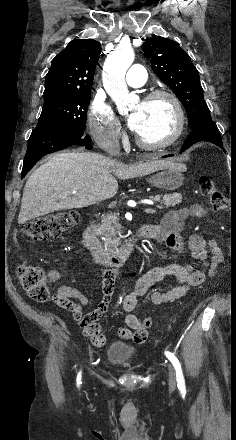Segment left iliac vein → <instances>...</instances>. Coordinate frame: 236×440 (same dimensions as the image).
<instances>
[{"mask_svg":"<svg viewBox=\"0 0 236 440\" xmlns=\"http://www.w3.org/2000/svg\"><path fill=\"white\" fill-rule=\"evenodd\" d=\"M168 381H169V386L174 389L176 387V375H175V371L174 368L171 364L168 365Z\"/></svg>","mask_w":236,"mask_h":440,"instance_id":"1","label":"left iliac vein"}]
</instances>
